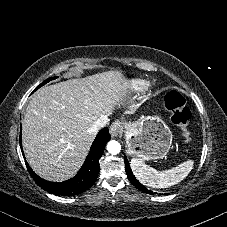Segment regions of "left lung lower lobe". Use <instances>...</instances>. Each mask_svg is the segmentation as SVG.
<instances>
[{"label":"left lung lower lobe","mask_w":227,"mask_h":227,"mask_svg":"<svg viewBox=\"0 0 227 227\" xmlns=\"http://www.w3.org/2000/svg\"><path fill=\"white\" fill-rule=\"evenodd\" d=\"M125 170L127 173V176L130 180V182L139 190L143 191L144 193L153 195L154 193L151 190H148L146 187H144L142 184L139 183V181L134 177L131 168L129 166L128 160L125 158Z\"/></svg>","instance_id":"1"}]
</instances>
